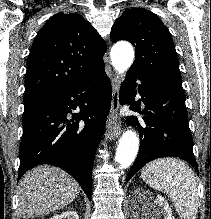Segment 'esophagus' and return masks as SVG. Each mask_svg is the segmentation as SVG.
Returning a JSON list of instances; mask_svg holds the SVG:
<instances>
[{
  "mask_svg": "<svg viewBox=\"0 0 211 219\" xmlns=\"http://www.w3.org/2000/svg\"><path fill=\"white\" fill-rule=\"evenodd\" d=\"M119 90H120V80L118 77H114L112 79V101H111V110H110L111 116L113 118V122L109 127L110 139L117 138L122 131L121 121L115 118L120 108Z\"/></svg>",
  "mask_w": 211,
  "mask_h": 219,
  "instance_id": "obj_1",
  "label": "esophagus"
}]
</instances>
